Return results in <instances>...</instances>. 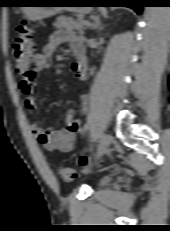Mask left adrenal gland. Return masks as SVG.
Masks as SVG:
<instances>
[{
	"mask_svg": "<svg viewBox=\"0 0 170 231\" xmlns=\"http://www.w3.org/2000/svg\"><path fill=\"white\" fill-rule=\"evenodd\" d=\"M100 28V21H96L95 25H94V29L97 30Z\"/></svg>",
	"mask_w": 170,
	"mask_h": 231,
	"instance_id": "1",
	"label": "left adrenal gland"
}]
</instances>
